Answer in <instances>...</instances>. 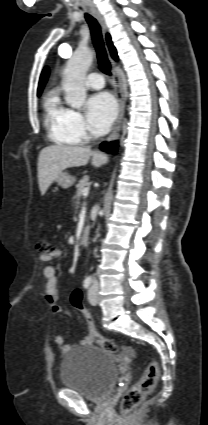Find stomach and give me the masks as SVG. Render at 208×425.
Segmentation results:
<instances>
[{"mask_svg": "<svg viewBox=\"0 0 208 425\" xmlns=\"http://www.w3.org/2000/svg\"><path fill=\"white\" fill-rule=\"evenodd\" d=\"M55 181L58 183L59 186H61L64 189H67L75 183L76 178L70 174L62 172L61 174L57 176Z\"/></svg>", "mask_w": 208, "mask_h": 425, "instance_id": "0dacf381", "label": "stomach"}]
</instances>
